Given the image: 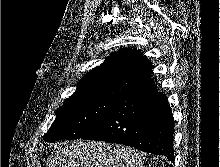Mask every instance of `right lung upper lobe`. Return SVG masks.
Returning a JSON list of instances; mask_svg holds the SVG:
<instances>
[{
  "instance_id": "1",
  "label": "right lung upper lobe",
  "mask_w": 220,
  "mask_h": 167,
  "mask_svg": "<svg viewBox=\"0 0 220 167\" xmlns=\"http://www.w3.org/2000/svg\"><path fill=\"white\" fill-rule=\"evenodd\" d=\"M152 64L143 53L125 48L111 54L100 66L86 74L68 99L86 97L116 98L152 84Z\"/></svg>"
}]
</instances>
